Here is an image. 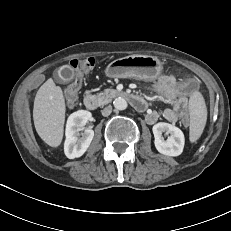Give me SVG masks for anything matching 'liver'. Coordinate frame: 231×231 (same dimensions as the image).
I'll return each mask as SVG.
<instances>
[{"instance_id": "obj_1", "label": "liver", "mask_w": 231, "mask_h": 231, "mask_svg": "<svg viewBox=\"0 0 231 231\" xmlns=\"http://www.w3.org/2000/svg\"><path fill=\"white\" fill-rule=\"evenodd\" d=\"M65 112L62 89L49 78L36 93L33 120L36 132L51 147H58L62 142Z\"/></svg>"}]
</instances>
